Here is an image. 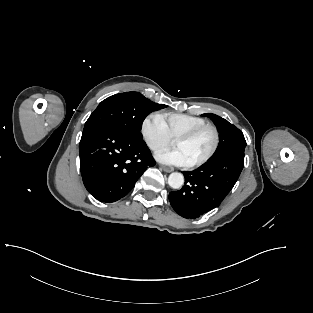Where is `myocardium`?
<instances>
[{"label": "myocardium", "instance_id": "myocardium-1", "mask_svg": "<svg viewBox=\"0 0 313 313\" xmlns=\"http://www.w3.org/2000/svg\"><path fill=\"white\" fill-rule=\"evenodd\" d=\"M207 129H210L213 132L214 144H213L211 150L209 151V153L205 157H203L202 159H200L196 162H193L189 165L191 168H198V167L205 165L216 154V152L219 148V145H220V132H219L218 127L212 123H204L202 125H199L193 129L183 133L182 135L178 136L175 139V143L189 141V140L193 139L194 137H196L199 133H201L202 131L207 130Z\"/></svg>", "mask_w": 313, "mask_h": 313}]
</instances>
